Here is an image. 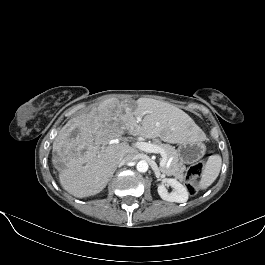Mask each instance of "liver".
<instances>
[{"label":"liver","instance_id":"obj_1","mask_svg":"<svg viewBox=\"0 0 265 265\" xmlns=\"http://www.w3.org/2000/svg\"><path fill=\"white\" fill-rule=\"evenodd\" d=\"M126 129L169 143L197 141L200 131L189 115L169 103L141 98L132 109L127 101L107 99L89 113L70 119L53 142L52 163L63 189L77 198L101 192L120 159L137 153L125 142L110 144Z\"/></svg>","mask_w":265,"mask_h":265}]
</instances>
